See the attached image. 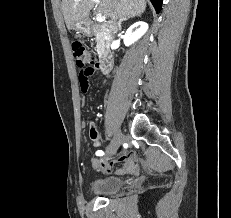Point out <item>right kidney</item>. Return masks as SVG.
Masks as SVG:
<instances>
[{"label":"right kidney","mask_w":231,"mask_h":218,"mask_svg":"<svg viewBox=\"0 0 231 218\" xmlns=\"http://www.w3.org/2000/svg\"><path fill=\"white\" fill-rule=\"evenodd\" d=\"M148 29V24L143 21H139L131 25L125 33L124 43L126 46L131 45L138 40Z\"/></svg>","instance_id":"right-kidney-1"}]
</instances>
